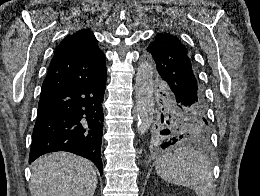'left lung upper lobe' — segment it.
<instances>
[{
	"label": "left lung upper lobe",
	"instance_id": "5c2ea615",
	"mask_svg": "<svg viewBox=\"0 0 260 196\" xmlns=\"http://www.w3.org/2000/svg\"><path fill=\"white\" fill-rule=\"evenodd\" d=\"M155 70L166 81L157 97L146 136L147 149L156 151L176 143H206L210 138L206 97L190 50L174 34L158 33L146 47ZM172 140L171 144H167Z\"/></svg>",
	"mask_w": 260,
	"mask_h": 196
}]
</instances>
